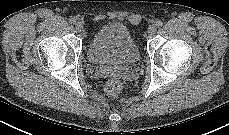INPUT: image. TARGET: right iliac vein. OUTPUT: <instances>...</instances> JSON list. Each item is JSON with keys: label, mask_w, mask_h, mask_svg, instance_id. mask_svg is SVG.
I'll return each instance as SVG.
<instances>
[{"label": "right iliac vein", "mask_w": 229, "mask_h": 135, "mask_svg": "<svg viewBox=\"0 0 229 135\" xmlns=\"http://www.w3.org/2000/svg\"><path fill=\"white\" fill-rule=\"evenodd\" d=\"M75 29L78 32H82L83 31V24L81 22H77L75 25Z\"/></svg>", "instance_id": "right-iliac-vein-1"}]
</instances>
